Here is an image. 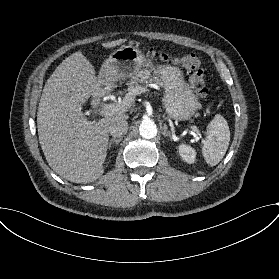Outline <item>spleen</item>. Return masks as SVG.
<instances>
[{
    "label": "spleen",
    "instance_id": "1",
    "mask_svg": "<svg viewBox=\"0 0 279 279\" xmlns=\"http://www.w3.org/2000/svg\"><path fill=\"white\" fill-rule=\"evenodd\" d=\"M230 142V130L226 120L216 115L208 124L201 153L209 167L216 166L224 157Z\"/></svg>",
    "mask_w": 279,
    "mask_h": 279
}]
</instances>
